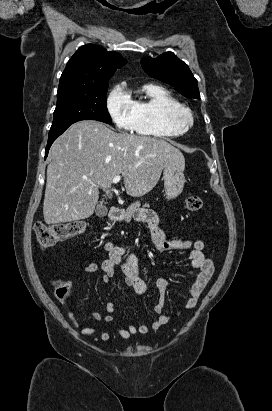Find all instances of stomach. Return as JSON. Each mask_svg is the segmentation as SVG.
<instances>
[{"mask_svg": "<svg viewBox=\"0 0 272 411\" xmlns=\"http://www.w3.org/2000/svg\"><path fill=\"white\" fill-rule=\"evenodd\" d=\"M165 196L168 200L178 197L184 188L183 170L174 164H168L163 169Z\"/></svg>", "mask_w": 272, "mask_h": 411, "instance_id": "1", "label": "stomach"}]
</instances>
